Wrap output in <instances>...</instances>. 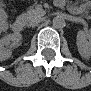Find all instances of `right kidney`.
Here are the masks:
<instances>
[{"label": "right kidney", "instance_id": "1", "mask_svg": "<svg viewBox=\"0 0 91 91\" xmlns=\"http://www.w3.org/2000/svg\"><path fill=\"white\" fill-rule=\"evenodd\" d=\"M21 34L12 33L0 39V60L4 61L11 57L12 47H17L20 44ZM12 42V45L10 43Z\"/></svg>", "mask_w": 91, "mask_h": 91}]
</instances>
